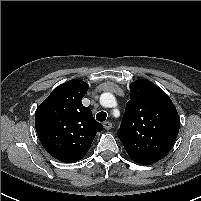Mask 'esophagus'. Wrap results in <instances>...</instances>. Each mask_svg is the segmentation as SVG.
<instances>
[{"label":"esophagus","mask_w":201,"mask_h":201,"mask_svg":"<svg viewBox=\"0 0 201 201\" xmlns=\"http://www.w3.org/2000/svg\"><path fill=\"white\" fill-rule=\"evenodd\" d=\"M103 126H104V128H105L106 130H109V129L112 128L111 122H108V121L104 122V123H103Z\"/></svg>","instance_id":"1"}]
</instances>
